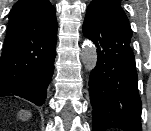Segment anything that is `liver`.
Listing matches in <instances>:
<instances>
[{
    "instance_id": "obj_1",
    "label": "liver",
    "mask_w": 151,
    "mask_h": 131,
    "mask_svg": "<svg viewBox=\"0 0 151 131\" xmlns=\"http://www.w3.org/2000/svg\"><path fill=\"white\" fill-rule=\"evenodd\" d=\"M26 117H27V118L30 117V113H27Z\"/></svg>"
}]
</instances>
